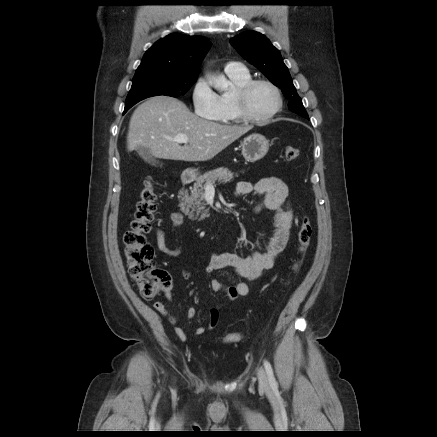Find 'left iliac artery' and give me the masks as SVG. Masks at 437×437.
<instances>
[{
  "label": "left iliac artery",
  "mask_w": 437,
  "mask_h": 437,
  "mask_svg": "<svg viewBox=\"0 0 437 437\" xmlns=\"http://www.w3.org/2000/svg\"><path fill=\"white\" fill-rule=\"evenodd\" d=\"M264 367H265V370H266L267 375H268L270 386L273 389H276L277 388V382L275 380V377H274V374H273V369H272V366H271L270 362H268L267 360H264Z\"/></svg>",
  "instance_id": "44dca946"
}]
</instances>
